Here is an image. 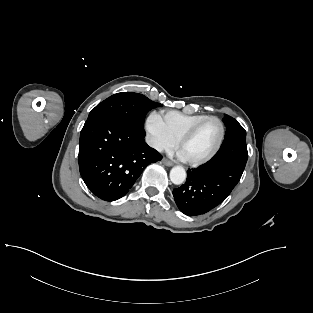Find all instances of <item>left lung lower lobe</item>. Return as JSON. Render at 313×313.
<instances>
[{
    "instance_id": "obj_1",
    "label": "left lung lower lobe",
    "mask_w": 313,
    "mask_h": 313,
    "mask_svg": "<svg viewBox=\"0 0 313 313\" xmlns=\"http://www.w3.org/2000/svg\"><path fill=\"white\" fill-rule=\"evenodd\" d=\"M247 158L246 141H233L221 146L208 163L189 169L185 184L173 190L180 211L197 216L219 205L239 182Z\"/></svg>"
}]
</instances>
